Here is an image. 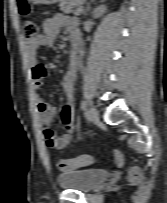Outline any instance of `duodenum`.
Listing matches in <instances>:
<instances>
[{"mask_svg": "<svg viewBox=\"0 0 167 203\" xmlns=\"http://www.w3.org/2000/svg\"><path fill=\"white\" fill-rule=\"evenodd\" d=\"M72 53L77 56V53H78V44H77V42H74L73 45H72Z\"/></svg>", "mask_w": 167, "mask_h": 203, "instance_id": "duodenum-1", "label": "duodenum"}]
</instances>
